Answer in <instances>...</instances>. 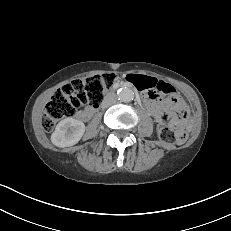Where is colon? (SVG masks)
<instances>
[{
    "mask_svg": "<svg viewBox=\"0 0 231 231\" xmlns=\"http://www.w3.org/2000/svg\"><path fill=\"white\" fill-rule=\"evenodd\" d=\"M117 76L114 73H102L83 79H75L61 87L51 98L46 106L42 118V127L45 131H51L57 122L64 118L73 117L84 107L96 108L103 100L105 93L113 86ZM139 90H149L152 93L169 95L175 89L169 83L161 81L156 87L148 88L143 79H135ZM188 112L184 106H178L174 111L175 122L167 120L158 129L159 137L166 143L183 142L187 137L186 130L177 125L183 123Z\"/></svg>",
    "mask_w": 231,
    "mask_h": 231,
    "instance_id": "colon-1",
    "label": "colon"
}]
</instances>
